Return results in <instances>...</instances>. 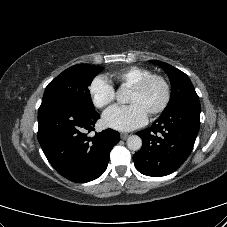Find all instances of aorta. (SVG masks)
<instances>
[{
    "mask_svg": "<svg viewBox=\"0 0 227 227\" xmlns=\"http://www.w3.org/2000/svg\"><path fill=\"white\" fill-rule=\"evenodd\" d=\"M116 98L117 101L120 103H125L128 101V96L125 90L120 89L117 93H116ZM127 147L132 150V151H138L141 149L142 147V140L139 136L137 135H131L128 139H127Z\"/></svg>",
    "mask_w": 227,
    "mask_h": 227,
    "instance_id": "obj_1",
    "label": "aorta"
}]
</instances>
